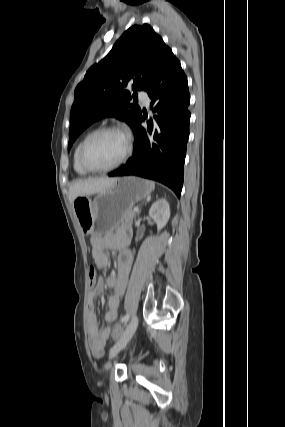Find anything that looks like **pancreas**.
I'll use <instances>...</instances> for the list:
<instances>
[{
  "label": "pancreas",
  "instance_id": "obj_1",
  "mask_svg": "<svg viewBox=\"0 0 285 427\" xmlns=\"http://www.w3.org/2000/svg\"><path fill=\"white\" fill-rule=\"evenodd\" d=\"M135 217V211L132 209H129L125 214V222L131 224L133 219Z\"/></svg>",
  "mask_w": 285,
  "mask_h": 427
}]
</instances>
